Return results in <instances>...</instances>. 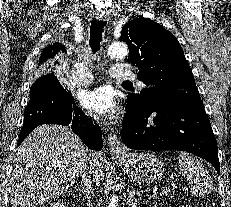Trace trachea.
<instances>
[{"mask_svg":"<svg viewBox=\"0 0 231 207\" xmlns=\"http://www.w3.org/2000/svg\"><path fill=\"white\" fill-rule=\"evenodd\" d=\"M105 25H106L105 21L93 20L91 22L89 46L93 54L98 52L101 48L100 43L102 41V34ZM123 83H130V82H123Z\"/></svg>","mask_w":231,"mask_h":207,"instance_id":"trachea-1","label":"trachea"}]
</instances>
